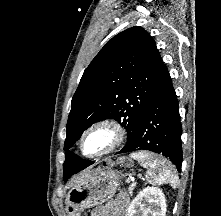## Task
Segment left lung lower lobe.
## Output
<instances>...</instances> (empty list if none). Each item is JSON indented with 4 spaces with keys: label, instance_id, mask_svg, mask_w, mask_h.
<instances>
[{
    "label": "left lung lower lobe",
    "instance_id": "0a47b994",
    "mask_svg": "<svg viewBox=\"0 0 221 216\" xmlns=\"http://www.w3.org/2000/svg\"><path fill=\"white\" fill-rule=\"evenodd\" d=\"M181 131L177 96L168 70L162 62L155 76L147 108L136 125L134 136L118 154L138 150L153 151L168 157L180 171ZM92 164V161H87L84 168Z\"/></svg>",
    "mask_w": 221,
    "mask_h": 216
}]
</instances>
